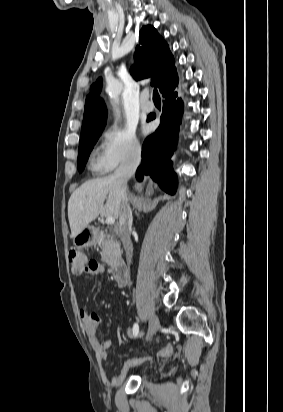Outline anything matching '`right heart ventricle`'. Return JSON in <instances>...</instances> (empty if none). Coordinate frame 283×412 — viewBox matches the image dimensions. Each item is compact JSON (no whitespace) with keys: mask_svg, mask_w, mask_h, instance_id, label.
Wrapping results in <instances>:
<instances>
[{"mask_svg":"<svg viewBox=\"0 0 283 412\" xmlns=\"http://www.w3.org/2000/svg\"><path fill=\"white\" fill-rule=\"evenodd\" d=\"M92 166H93V168L96 169V170H102V169L100 168V166H99L98 157H97L96 160L93 159V161H92Z\"/></svg>","mask_w":283,"mask_h":412,"instance_id":"e07e8e85","label":"right heart ventricle"}]
</instances>
